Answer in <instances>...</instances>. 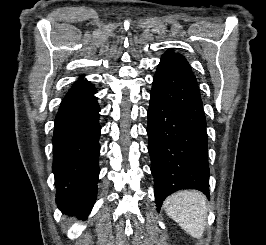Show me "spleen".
<instances>
[{"mask_svg":"<svg viewBox=\"0 0 266 245\" xmlns=\"http://www.w3.org/2000/svg\"><path fill=\"white\" fill-rule=\"evenodd\" d=\"M163 207L170 219L195 239H202L207 223L206 199L198 191H178L167 197Z\"/></svg>","mask_w":266,"mask_h":245,"instance_id":"obj_1","label":"spleen"}]
</instances>
